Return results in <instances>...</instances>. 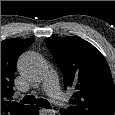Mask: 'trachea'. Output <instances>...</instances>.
Returning <instances> with one entry per match:
<instances>
[{
  "label": "trachea",
  "mask_w": 115,
  "mask_h": 115,
  "mask_svg": "<svg viewBox=\"0 0 115 115\" xmlns=\"http://www.w3.org/2000/svg\"><path fill=\"white\" fill-rule=\"evenodd\" d=\"M21 103L22 104H34V103H36L38 106H40L42 108L52 109L50 103L47 100H45L43 98L36 99L34 96H31V95L25 96L21 100Z\"/></svg>",
  "instance_id": "1"
}]
</instances>
